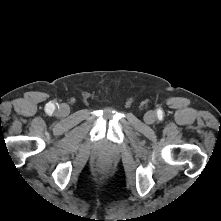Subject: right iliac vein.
Instances as JSON below:
<instances>
[{
  "label": "right iliac vein",
  "mask_w": 221,
  "mask_h": 221,
  "mask_svg": "<svg viewBox=\"0 0 221 221\" xmlns=\"http://www.w3.org/2000/svg\"><path fill=\"white\" fill-rule=\"evenodd\" d=\"M70 113V109L68 107V105L66 104H62L60 105L59 109H58V114L61 117H65Z\"/></svg>",
  "instance_id": "obj_1"
}]
</instances>
